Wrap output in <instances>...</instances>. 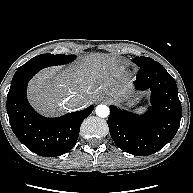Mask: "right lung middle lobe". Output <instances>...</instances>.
Segmentation results:
<instances>
[{
  "instance_id": "dd1d6c3e",
  "label": "right lung middle lobe",
  "mask_w": 193,
  "mask_h": 193,
  "mask_svg": "<svg viewBox=\"0 0 193 193\" xmlns=\"http://www.w3.org/2000/svg\"><path fill=\"white\" fill-rule=\"evenodd\" d=\"M75 58L74 55H53V54H41L31 60H29L24 65H38V66H53V65H63L67 64Z\"/></svg>"
}]
</instances>
